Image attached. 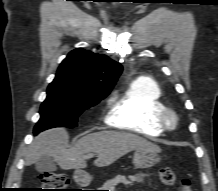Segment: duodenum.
Segmentation results:
<instances>
[{
	"mask_svg": "<svg viewBox=\"0 0 218 191\" xmlns=\"http://www.w3.org/2000/svg\"><path fill=\"white\" fill-rule=\"evenodd\" d=\"M75 177L77 182L81 184L87 185L89 182L87 173L81 169L76 171Z\"/></svg>",
	"mask_w": 218,
	"mask_h": 191,
	"instance_id": "1",
	"label": "duodenum"
}]
</instances>
